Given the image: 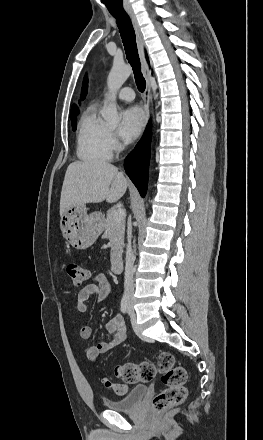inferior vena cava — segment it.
<instances>
[{
    "instance_id": "1",
    "label": "inferior vena cava",
    "mask_w": 263,
    "mask_h": 440,
    "mask_svg": "<svg viewBox=\"0 0 263 440\" xmlns=\"http://www.w3.org/2000/svg\"><path fill=\"white\" fill-rule=\"evenodd\" d=\"M127 235H128V245L126 250L124 288H125V294L128 297H132L134 293L133 275L135 272V268H134V255L131 247L132 227L130 225L128 226Z\"/></svg>"
}]
</instances>
